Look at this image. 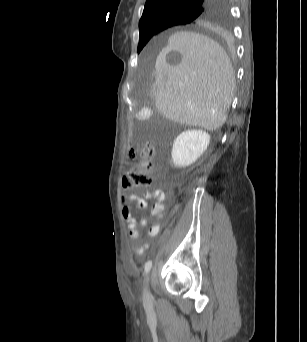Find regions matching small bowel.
I'll return each instance as SVG.
<instances>
[{
	"mask_svg": "<svg viewBox=\"0 0 307 342\" xmlns=\"http://www.w3.org/2000/svg\"><path fill=\"white\" fill-rule=\"evenodd\" d=\"M129 200L136 204V207L139 210H144L148 206V201L155 200V204L152 206L151 213L155 219L153 225L149 228L148 234L151 237H155L160 230V218L162 217V213L164 210V200L165 195L160 189H155L151 191H147L144 195V198L138 197L135 194L129 195ZM124 218L128 223V231L129 236L132 240H137L139 238V230L138 227H145L147 222L145 219L141 218L138 221L131 214V212L126 209L123 212ZM148 249V244L146 242H142L138 246L133 247V251L136 254H142Z\"/></svg>",
	"mask_w": 307,
	"mask_h": 342,
	"instance_id": "1",
	"label": "small bowel"
}]
</instances>
